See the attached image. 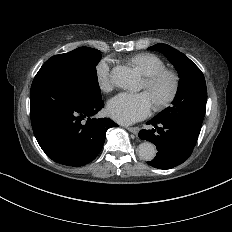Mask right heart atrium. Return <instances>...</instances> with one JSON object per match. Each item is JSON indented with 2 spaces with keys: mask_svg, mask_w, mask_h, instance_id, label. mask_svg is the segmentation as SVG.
Here are the masks:
<instances>
[{
  "mask_svg": "<svg viewBox=\"0 0 232 232\" xmlns=\"http://www.w3.org/2000/svg\"><path fill=\"white\" fill-rule=\"evenodd\" d=\"M110 64L111 60L109 58H104L96 67L97 81L102 89H106L109 86Z\"/></svg>",
  "mask_w": 232,
  "mask_h": 232,
  "instance_id": "right-heart-atrium-1",
  "label": "right heart atrium"
}]
</instances>
